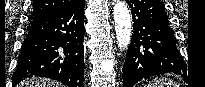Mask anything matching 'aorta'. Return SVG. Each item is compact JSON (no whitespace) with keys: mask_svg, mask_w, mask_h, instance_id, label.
<instances>
[{"mask_svg":"<svg viewBox=\"0 0 205 87\" xmlns=\"http://www.w3.org/2000/svg\"><path fill=\"white\" fill-rule=\"evenodd\" d=\"M116 39L120 48H127L131 42V16L123 0H115L113 7Z\"/></svg>","mask_w":205,"mask_h":87,"instance_id":"obj_1","label":"aorta"}]
</instances>
